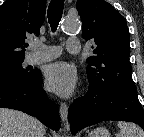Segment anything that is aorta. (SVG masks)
<instances>
[{"label":"aorta","instance_id":"aorta-1","mask_svg":"<svg viewBox=\"0 0 144 137\" xmlns=\"http://www.w3.org/2000/svg\"><path fill=\"white\" fill-rule=\"evenodd\" d=\"M61 28L65 32H77L80 29V23L76 19H65L61 24Z\"/></svg>","mask_w":144,"mask_h":137}]
</instances>
